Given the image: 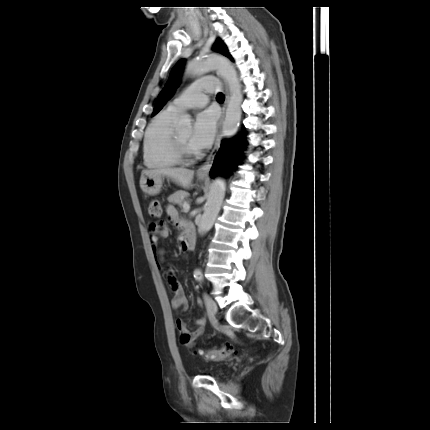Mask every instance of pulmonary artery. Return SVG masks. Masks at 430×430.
Here are the masks:
<instances>
[{"label":"pulmonary artery","mask_w":430,"mask_h":430,"mask_svg":"<svg viewBox=\"0 0 430 430\" xmlns=\"http://www.w3.org/2000/svg\"><path fill=\"white\" fill-rule=\"evenodd\" d=\"M218 90V83L212 78H201L187 87L174 101L168 109L177 113L182 111L201 108L208 103V95Z\"/></svg>","instance_id":"1"}]
</instances>
